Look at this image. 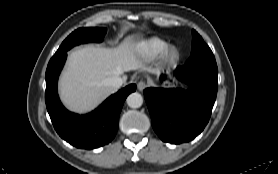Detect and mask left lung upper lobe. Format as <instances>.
Wrapping results in <instances>:
<instances>
[{
  "label": "left lung upper lobe",
  "instance_id": "1",
  "mask_svg": "<svg viewBox=\"0 0 278 174\" xmlns=\"http://www.w3.org/2000/svg\"><path fill=\"white\" fill-rule=\"evenodd\" d=\"M192 52L185 64H201L210 69L218 70L215 57L202 37L192 30Z\"/></svg>",
  "mask_w": 278,
  "mask_h": 174
}]
</instances>
